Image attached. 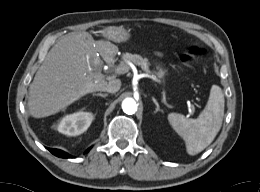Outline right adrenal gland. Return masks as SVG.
Listing matches in <instances>:
<instances>
[{"label": "right adrenal gland", "mask_w": 260, "mask_h": 192, "mask_svg": "<svg viewBox=\"0 0 260 192\" xmlns=\"http://www.w3.org/2000/svg\"><path fill=\"white\" fill-rule=\"evenodd\" d=\"M93 96H100V97H103L105 98L106 96H108V94H102V93H93Z\"/></svg>", "instance_id": "2a0ac1e0"}]
</instances>
